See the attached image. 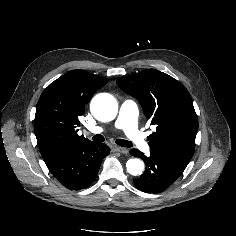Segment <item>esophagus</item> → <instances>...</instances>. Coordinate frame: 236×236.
Listing matches in <instances>:
<instances>
[{
	"label": "esophagus",
	"mask_w": 236,
	"mask_h": 236,
	"mask_svg": "<svg viewBox=\"0 0 236 236\" xmlns=\"http://www.w3.org/2000/svg\"><path fill=\"white\" fill-rule=\"evenodd\" d=\"M112 149L115 152H119V153H123V154L128 153V150L126 148H123V147L114 146Z\"/></svg>",
	"instance_id": "1"
}]
</instances>
